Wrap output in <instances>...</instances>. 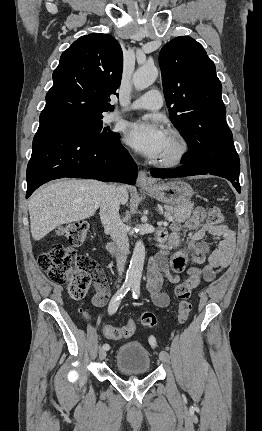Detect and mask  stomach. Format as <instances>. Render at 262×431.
<instances>
[{
  "label": "stomach",
  "mask_w": 262,
  "mask_h": 431,
  "mask_svg": "<svg viewBox=\"0 0 262 431\" xmlns=\"http://www.w3.org/2000/svg\"><path fill=\"white\" fill-rule=\"evenodd\" d=\"M144 190L156 200L171 206H188L194 194L192 187L182 180H172L144 187Z\"/></svg>",
  "instance_id": "stomach-1"
}]
</instances>
